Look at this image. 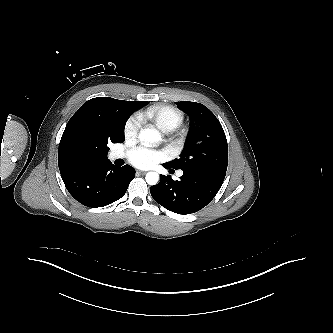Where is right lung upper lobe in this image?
Here are the masks:
<instances>
[{
  "mask_svg": "<svg viewBox=\"0 0 333 333\" xmlns=\"http://www.w3.org/2000/svg\"><path fill=\"white\" fill-rule=\"evenodd\" d=\"M143 102L97 97L85 102L71 117L60 140L58 165L65 176L81 163L106 160L104 143L115 139L117 112L123 106H138Z\"/></svg>",
  "mask_w": 333,
  "mask_h": 333,
  "instance_id": "cb5924a9",
  "label": "right lung upper lobe"
}]
</instances>
